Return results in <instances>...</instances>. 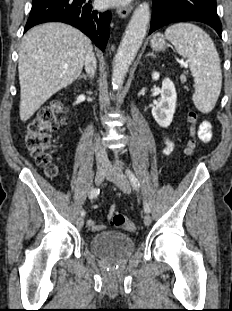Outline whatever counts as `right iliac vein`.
<instances>
[{
  "instance_id": "63e3f726",
  "label": "right iliac vein",
  "mask_w": 232,
  "mask_h": 311,
  "mask_svg": "<svg viewBox=\"0 0 232 311\" xmlns=\"http://www.w3.org/2000/svg\"><path fill=\"white\" fill-rule=\"evenodd\" d=\"M107 173H108V168L107 167H99L96 170V175H95V183H96V185H100L104 181ZM77 224H78L79 228L83 227V225H84V218L80 217L78 219V221H77Z\"/></svg>"
}]
</instances>
